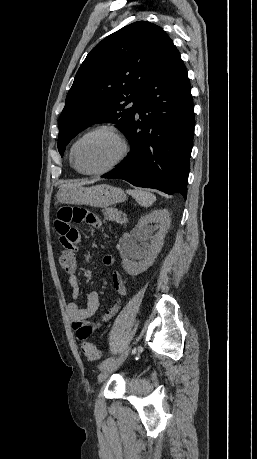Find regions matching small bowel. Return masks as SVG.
I'll list each match as a JSON object with an SVG mask.
<instances>
[{"label": "small bowel", "instance_id": "c3829d8e", "mask_svg": "<svg viewBox=\"0 0 257 459\" xmlns=\"http://www.w3.org/2000/svg\"><path fill=\"white\" fill-rule=\"evenodd\" d=\"M55 231L61 236L60 245L64 251H79V255H84L81 249V236L78 226H86L87 229H102L103 222L97 218V209L92 205H59V211L54 218ZM106 267L115 265V258L106 255L103 258ZM68 284L71 288V297L77 299L80 294L78 278L75 274L68 276ZM112 285L118 298L116 302L104 313L100 321H89L99 308V295L96 291H89L86 296L85 307H80L77 303L71 302L67 305V313L71 321L73 330L79 340L86 339L90 334L101 327V324L113 317L119 310L122 299L126 295V285L119 272L112 274Z\"/></svg>", "mask_w": 257, "mask_h": 459}]
</instances>
